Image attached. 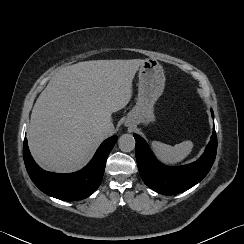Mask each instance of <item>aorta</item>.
<instances>
[{"label": "aorta", "mask_w": 244, "mask_h": 244, "mask_svg": "<svg viewBox=\"0 0 244 244\" xmlns=\"http://www.w3.org/2000/svg\"><path fill=\"white\" fill-rule=\"evenodd\" d=\"M118 146L123 152H131L135 149V138L132 134H123L118 140Z\"/></svg>", "instance_id": "aorta-1"}]
</instances>
